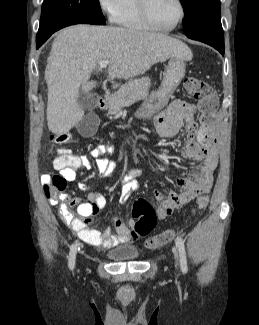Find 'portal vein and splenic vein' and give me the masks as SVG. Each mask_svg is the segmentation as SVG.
<instances>
[{
    "label": "portal vein and splenic vein",
    "mask_w": 259,
    "mask_h": 325,
    "mask_svg": "<svg viewBox=\"0 0 259 325\" xmlns=\"http://www.w3.org/2000/svg\"><path fill=\"white\" fill-rule=\"evenodd\" d=\"M108 64H109L108 60L101 61L99 62V68L100 69L106 68Z\"/></svg>",
    "instance_id": "obj_1"
}]
</instances>
